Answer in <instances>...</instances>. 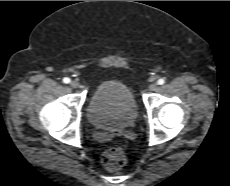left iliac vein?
I'll list each match as a JSON object with an SVG mask.
<instances>
[{"label": "left iliac vein", "mask_w": 230, "mask_h": 186, "mask_svg": "<svg viewBox=\"0 0 230 186\" xmlns=\"http://www.w3.org/2000/svg\"><path fill=\"white\" fill-rule=\"evenodd\" d=\"M158 88V84L157 83H151L150 85H149V90L150 91H155L156 89Z\"/></svg>", "instance_id": "obj_1"}]
</instances>
